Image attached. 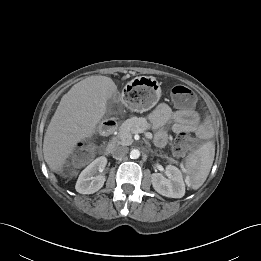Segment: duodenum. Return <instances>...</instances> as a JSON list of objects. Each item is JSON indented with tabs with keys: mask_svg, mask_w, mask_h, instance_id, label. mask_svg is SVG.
Wrapping results in <instances>:
<instances>
[{
	"mask_svg": "<svg viewBox=\"0 0 261 261\" xmlns=\"http://www.w3.org/2000/svg\"><path fill=\"white\" fill-rule=\"evenodd\" d=\"M115 127H116V122L114 121V119L110 118V119L105 120L101 124L100 131L104 134L111 136ZM113 150H114V143L110 142L106 147V153L111 154L113 152Z\"/></svg>",
	"mask_w": 261,
	"mask_h": 261,
	"instance_id": "410a0bca",
	"label": "duodenum"
}]
</instances>
